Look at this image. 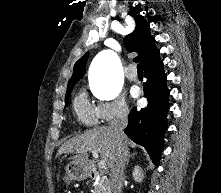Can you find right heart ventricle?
Instances as JSON below:
<instances>
[{
    "instance_id": "right-heart-ventricle-1",
    "label": "right heart ventricle",
    "mask_w": 221,
    "mask_h": 193,
    "mask_svg": "<svg viewBox=\"0 0 221 193\" xmlns=\"http://www.w3.org/2000/svg\"><path fill=\"white\" fill-rule=\"evenodd\" d=\"M73 109L78 121L83 125L92 126L99 120L96 106L93 105L83 93L74 99Z\"/></svg>"
}]
</instances>
